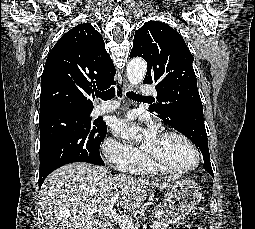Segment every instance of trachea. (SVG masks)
Returning <instances> with one entry per match:
<instances>
[{
  "label": "trachea",
  "mask_w": 255,
  "mask_h": 229,
  "mask_svg": "<svg viewBox=\"0 0 255 229\" xmlns=\"http://www.w3.org/2000/svg\"><path fill=\"white\" fill-rule=\"evenodd\" d=\"M115 92V88H111L103 92H96V97L101 98L102 100H110L114 97ZM126 95L130 99L149 98L148 96H142L132 91H128Z\"/></svg>",
  "instance_id": "3493384b"
}]
</instances>
